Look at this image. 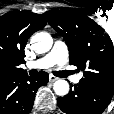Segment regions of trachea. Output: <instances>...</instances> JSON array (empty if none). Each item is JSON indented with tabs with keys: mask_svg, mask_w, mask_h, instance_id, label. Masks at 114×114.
I'll return each instance as SVG.
<instances>
[{
	"mask_svg": "<svg viewBox=\"0 0 114 114\" xmlns=\"http://www.w3.org/2000/svg\"><path fill=\"white\" fill-rule=\"evenodd\" d=\"M30 73H31V75H35V74H37V70L32 69L30 71ZM53 73H54V75L60 76V77H65L67 75V72H53Z\"/></svg>",
	"mask_w": 114,
	"mask_h": 114,
	"instance_id": "obj_1",
	"label": "trachea"
}]
</instances>
